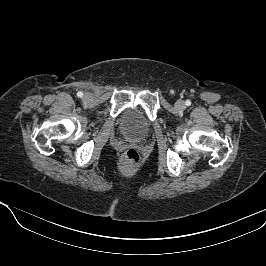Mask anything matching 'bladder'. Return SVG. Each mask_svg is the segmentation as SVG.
<instances>
[{"mask_svg": "<svg viewBox=\"0 0 266 266\" xmlns=\"http://www.w3.org/2000/svg\"><path fill=\"white\" fill-rule=\"evenodd\" d=\"M120 126L123 133L132 139L146 137L150 130V123L140 109H127L120 118Z\"/></svg>", "mask_w": 266, "mask_h": 266, "instance_id": "obj_1", "label": "bladder"}]
</instances>
